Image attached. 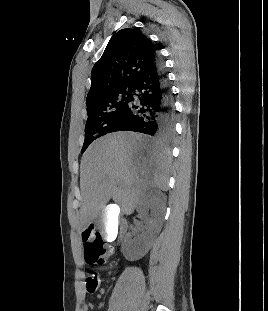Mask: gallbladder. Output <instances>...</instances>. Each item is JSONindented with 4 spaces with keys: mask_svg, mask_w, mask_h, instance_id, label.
<instances>
[{
    "mask_svg": "<svg viewBox=\"0 0 268 311\" xmlns=\"http://www.w3.org/2000/svg\"><path fill=\"white\" fill-rule=\"evenodd\" d=\"M118 202H107L105 209L96 220V226L100 229V234H104L105 239H117L119 227L117 219L120 213Z\"/></svg>",
    "mask_w": 268,
    "mask_h": 311,
    "instance_id": "bac80fb5",
    "label": "gallbladder"
}]
</instances>
